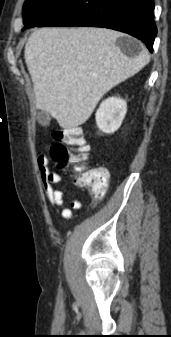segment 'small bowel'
<instances>
[{"label":"small bowel","instance_id":"c3829d8e","mask_svg":"<svg viewBox=\"0 0 171 337\" xmlns=\"http://www.w3.org/2000/svg\"><path fill=\"white\" fill-rule=\"evenodd\" d=\"M49 161V157L46 154H40L37 157L38 173L46 199L58 214L66 220H71L74 217L72 210H79L82 207V201L79 198H74L70 202V207H67L63 192L55 187L62 182L63 177L60 173L49 170ZM76 172L81 173L82 168L77 167Z\"/></svg>","mask_w":171,"mask_h":337}]
</instances>
